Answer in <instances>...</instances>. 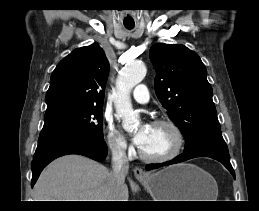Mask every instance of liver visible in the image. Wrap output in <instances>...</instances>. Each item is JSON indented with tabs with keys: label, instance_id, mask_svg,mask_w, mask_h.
I'll return each mask as SVG.
<instances>
[{
	"label": "liver",
	"instance_id": "liver-1",
	"mask_svg": "<svg viewBox=\"0 0 259 211\" xmlns=\"http://www.w3.org/2000/svg\"><path fill=\"white\" fill-rule=\"evenodd\" d=\"M113 194L109 170L80 155H66L51 162L38 178L34 201H110ZM118 201H128L124 183L115 192Z\"/></svg>",
	"mask_w": 259,
	"mask_h": 211
}]
</instances>
